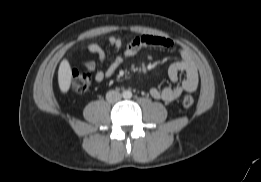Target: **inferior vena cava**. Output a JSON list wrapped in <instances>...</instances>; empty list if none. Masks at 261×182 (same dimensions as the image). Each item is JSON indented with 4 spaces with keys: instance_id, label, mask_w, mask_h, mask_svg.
Segmentation results:
<instances>
[{
    "instance_id": "inferior-vena-cava-1",
    "label": "inferior vena cava",
    "mask_w": 261,
    "mask_h": 182,
    "mask_svg": "<svg viewBox=\"0 0 261 182\" xmlns=\"http://www.w3.org/2000/svg\"><path fill=\"white\" fill-rule=\"evenodd\" d=\"M122 98V95L118 92V91H109L106 94V99L108 102L110 103H116L118 101H120Z\"/></svg>"
}]
</instances>
